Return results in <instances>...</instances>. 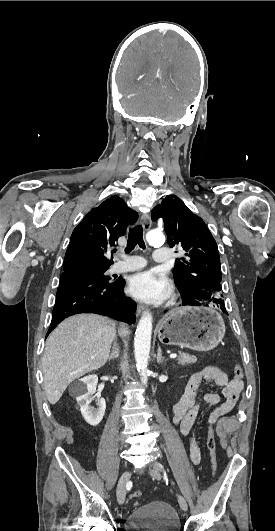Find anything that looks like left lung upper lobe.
Listing matches in <instances>:
<instances>
[{
	"mask_svg": "<svg viewBox=\"0 0 275 531\" xmlns=\"http://www.w3.org/2000/svg\"><path fill=\"white\" fill-rule=\"evenodd\" d=\"M164 221L170 247L185 251L174 267V282L182 305H210L226 312L221 299V267L218 247L204 221L177 196H167L151 213Z\"/></svg>",
	"mask_w": 275,
	"mask_h": 531,
	"instance_id": "1",
	"label": "left lung upper lobe"
}]
</instances>
